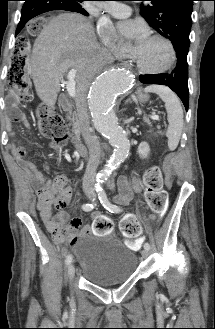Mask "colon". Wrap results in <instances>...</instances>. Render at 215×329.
Instances as JSON below:
<instances>
[{"instance_id":"colon-1","label":"colon","mask_w":215,"mask_h":329,"mask_svg":"<svg viewBox=\"0 0 215 329\" xmlns=\"http://www.w3.org/2000/svg\"><path fill=\"white\" fill-rule=\"evenodd\" d=\"M53 21V14H36V19H31V25H27V32H33L34 38H43L46 26H50ZM33 37L21 36L18 39L9 73V102L7 109H22L23 104L30 98L28 83L24 77V67L30 44H33ZM39 127L43 136L52 140L56 146H61L66 142V126L62 117L53 110L40 107L37 110ZM145 185V198L153 217H169L170 211L167 208L168 197L163 189V178L159 167H148L143 176ZM63 183H56L51 188L43 192V199L46 205L56 208H63L65 201L63 198ZM96 220H110L107 217H98ZM113 227V226H112ZM120 229L122 234L130 239L137 238L141 233L140 223L132 216L124 218ZM53 233L58 239L65 236V230L54 225ZM135 245V242L132 243Z\"/></svg>"}]
</instances>
